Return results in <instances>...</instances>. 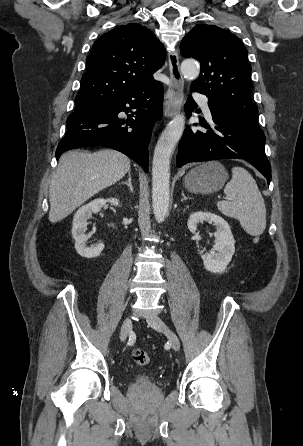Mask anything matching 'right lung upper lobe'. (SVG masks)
Segmentation results:
<instances>
[{
  "instance_id": "cb5924a9",
  "label": "right lung upper lobe",
  "mask_w": 303,
  "mask_h": 446,
  "mask_svg": "<svg viewBox=\"0 0 303 446\" xmlns=\"http://www.w3.org/2000/svg\"><path fill=\"white\" fill-rule=\"evenodd\" d=\"M165 57L148 28L136 23L119 26L94 43L76 98L93 105L156 85L152 75Z\"/></svg>"
}]
</instances>
